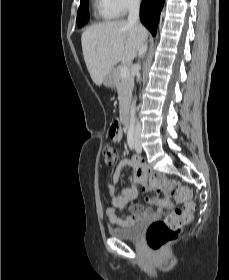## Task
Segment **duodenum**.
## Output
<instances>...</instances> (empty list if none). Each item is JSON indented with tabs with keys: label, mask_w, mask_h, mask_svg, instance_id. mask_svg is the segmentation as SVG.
<instances>
[{
	"label": "duodenum",
	"mask_w": 229,
	"mask_h": 280,
	"mask_svg": "<svg viewBox=\"0 0 229 280\" xmlns=\"http://www.w3.org/2000/svg\"><path fill=\"white\" fill-rule=\"evenodd\" d=\"M120 122H121L122 127H127V125H128V111H127V109H124L122 111L121 116H120Z\"/></svg>",
	"instance_id": "duodenum-1"
}]
</instances>
